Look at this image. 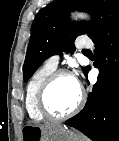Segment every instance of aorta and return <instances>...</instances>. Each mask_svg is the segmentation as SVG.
Segmentation results:
<instances>
[{"label": "aorta", "instance_id": "1", "mask_svg": "<svg viewBox=\"0 0 119 141\" xmlns=\"http://www.w3.org/2000/svg\"><path fill=\"white\" fill-rule=\"evenodd\" d=\"M79 17H81V18H86V16H85V15H79Z\"/></svg>", "mask_w": 119, "mask_h": 141}]
</instances>
